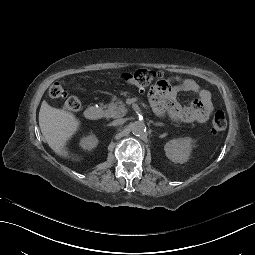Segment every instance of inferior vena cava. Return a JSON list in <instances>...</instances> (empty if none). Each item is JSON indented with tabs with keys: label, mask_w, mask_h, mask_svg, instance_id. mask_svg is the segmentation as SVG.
<instances>
[{
	"label": "inferior vena cava",
	"mask_w": 255,
	"mask_h": 255,
	"mask_svg": "<svg viewBox=\"0 0 255 255\" xmlns=\"http://www.w3.org/2000/svg\"><path fill=\"white\" fill-rule=\"evenodd\" d=\"M121 124H122V120H120V119L114 120V121L111 123L112 126H119V125H121Z\"/></svg>",
	"instance_id": "obj_1"
}]
</instances>
